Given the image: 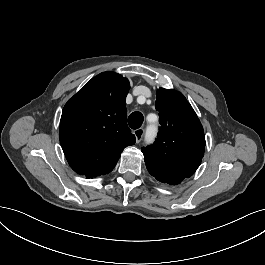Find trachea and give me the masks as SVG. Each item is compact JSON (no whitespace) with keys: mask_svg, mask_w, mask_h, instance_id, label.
<instances>
[{"mask_svg":"<svg viewBox=\"0 0 265 265\" xmlns=\"http://www.w3.org/2000/svg\"><path fill=\"white\" fill-rule=\"evenodd\" d=\"M143 123V115L140 112H133L128 117V124L132 129H138Z\"/></svg>","mask_w":265,"mask_h":265,"instance_id":"3493384b","label":"trachea"}]
</instances>
